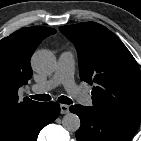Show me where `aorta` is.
Segmentation results:
<instances>
[{
  "label": "aorta",
  "instance_id": "obj_1",
  "mask_svg": "<svg viewBox=\"0 0 141 141\" xmlns=\"http://www.w3.org/2000/svg\"><path fill=\"white\" fill-rule=\"evenodd\" d=\"M31 65L37 73L49 75L55 70L56 60L51 51L41 49L32 55ZM80 125V119L74 113H67L62 119V126L69 132H76Z\"/></svg>",
  "mask_w": 141,
  "mask_h": 141
}]
</instances>
